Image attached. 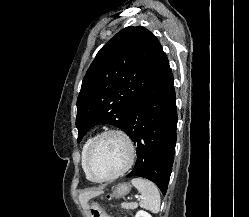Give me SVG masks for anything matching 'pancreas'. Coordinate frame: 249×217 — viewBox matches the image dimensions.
Masks as SVG:
<instances>
[{
  "label": "pancreas",
  "mask_w": 249,
  "mask_h": 217,
  "mask_svg": "<svg viewBox=\"0 0 249 217\" xmlns=\"http://www.w3.org/2000/svg\"><path fill=\"white\" fill-rule=\"evenodd\" d=\"M121 207L124 209H136L138 207V204L136 202L132 203L123 202L121 204Z\"/></svg>",
  "instance_id": "1"
}]
</instances>
